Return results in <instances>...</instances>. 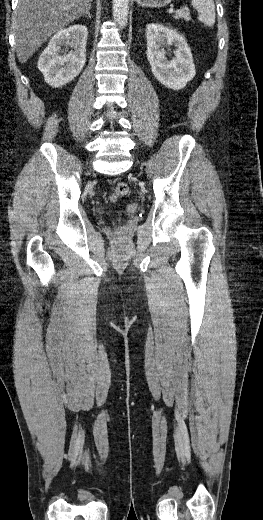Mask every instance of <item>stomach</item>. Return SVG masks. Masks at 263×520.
I'll return each mask as SVG.
<instances>
[{
    "label": "stomach",
    "instance_id": "stomach-1",
    "mask_svg": "<svg viewBox=\"0 0 263 520\" xmlns=\"http://www.w3.org/2000/svg\"><path fill=\"white\" fill-rule=\"evenodd\" d=\"M142 7L160 8L171 3L172 0H135Z\"/></svg>",
    "mask_w": 263,
    "mask_h": 520
}]
</instances>
